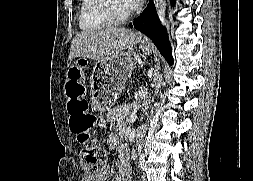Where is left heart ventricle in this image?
<instances>
[{
	"label": "left heart ventricle",
	"instance_id": "b2bd125f",
	"mask_svg": "<svg viewBox=\"0 0 253 181\" xmlns=\"http://www.w3.org/2000/svg\"><path fill=\"white\" fill-rule=\"evenodd\" d=\"M112 6L114 9V12L118 15L125 14L126 12L129 11L127 7L125 6L123 0H112Z\"/></svg>",
	"mask_w": 253,
	"mask_h": 181
}]
</instances>
